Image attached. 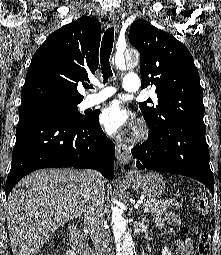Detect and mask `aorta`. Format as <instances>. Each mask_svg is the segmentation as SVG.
Wrapping results in <instances>:
<instances>
[{"mask_svg":"<svg viewBox=\"0 0 221 255\" xmlns=\"http://www.w3.org/2000/svg\"><path fill=\"white\" fill-rule=\"evenodd\" d=\"M115 64L118 68H133L138 64V56L135 51L127 50L126 53L118 52L115 56ZM114 202L116 203L115 199ZM112 223L114 224V237L117 243V255H136L135 244L126 222L119 213L117 207H113Z\"/></svg>","mask_w":221,"mask_h":255,"instance_id":"obj_1","label":"aorta"}]
</instances>
